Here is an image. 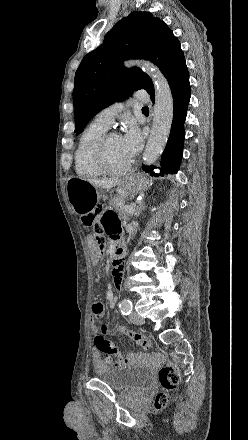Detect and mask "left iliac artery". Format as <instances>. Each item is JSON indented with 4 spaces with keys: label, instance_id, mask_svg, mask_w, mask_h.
Listing matches in <instances>:
<instances>
[{
    "label": "left iliac artery",
    "instance_id": "obj_1",
    "mask_svg": "<svg viewBox=\"0 0 248 440\" xmlns=\"http://www.w3.org/2000/svg\"><path fill=\"white\" fill-rule=\"evenodd\" d=\"M132 302L129 299H123L120 303V309L123 315H129L132 311Z\"/></svg>",
    "mask_w": 248,
    "mask_h": 440
}]
</instances>
